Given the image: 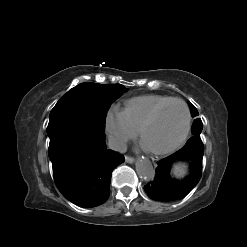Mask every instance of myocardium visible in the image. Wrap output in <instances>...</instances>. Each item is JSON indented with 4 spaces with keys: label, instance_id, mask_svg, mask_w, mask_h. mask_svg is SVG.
I'll return each instance as SVG.
<instances>
[{
    "label": "myocardium",
    "instance_id": "f54148a6",
    "mask_svg": "<svg viewBox=\"0 0 247 247\" xmlns=\"http://www.w3.org/2000/svg\"><path fill=\"white\" fill-rule=\"evenodd\" d=\"M174 102H178L180 104L183 105L184 109H185V113H186V122H185V128L184 131L181 135V137L178 139L177 142H175L173 145L164 148V149H149L147 148L153 155L156 156H163V155H167L170 154L174 151H176L178 148H180L183 143L186 141L189 132H190V128H191V112L189 109V106L187 105V103L180 98H170L168 100H166L165 102L161 103L160 105H158L153 112L149 115V117L143 122V124L141 125V127L138 130V135L140 140L143 142V135L145 133V131L155 122V120L157 119L158 115L160 114V112L169 104L174 103Z\"/></svg>",
    "mask_w": 247,
    "mask_h": 247
}]
</instances>
